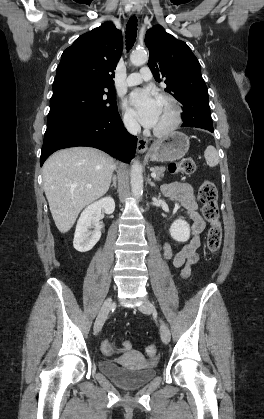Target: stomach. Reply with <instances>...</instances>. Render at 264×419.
<instances>
[{"mask_svg": "<svg viewBox=\"0 0 264 419\" xmlns=\"http://www.w3.org/2000/svg\"><path fill=\"white\" fill-rule=\"evenodd\" d=\"M189 146L187 135L182 132H172L152 144L149 149V156L152 161H176L187 153Z\"/></svg>", "mask_w": 264, "mask_h": 419, "instance_id": "1", "label": "stomach"}]
</instances>
